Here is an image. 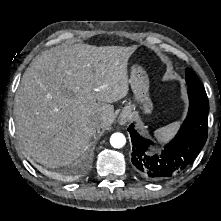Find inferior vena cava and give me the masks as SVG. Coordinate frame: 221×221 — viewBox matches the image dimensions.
Returning a JSON list of instances; mask_svg holds the SVG:
<instances>
[{"mask_svg":"<svg viewBox=\"0 0 221 221\" xmlns=\"http://www.w3.org/2000/svg\"><path fill=\"white\" fill-rule=\"evenodd\" d=\"M89 126L92 130L97 131L102 126V118L101 117H95L89 122Z\"/></svg>","mask_w":221,"mask_h":221,"instance_id":"1","label":"inferior vena cava"}]
</instances>
